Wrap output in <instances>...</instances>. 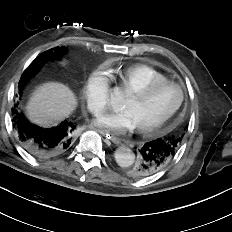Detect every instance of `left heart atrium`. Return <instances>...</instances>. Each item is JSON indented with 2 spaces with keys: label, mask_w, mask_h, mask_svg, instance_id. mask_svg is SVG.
<instances>
[{
  "label": "left heart atrium",
  "mask_w": 232,
  "mask_h": 232,
  "mask_svg": "<svg viewBox=\"0 0 232 232\" xmlns=\"http://www.w3.org/2000/svg\"><path fill=\"white\" fill-rule=\"evenodd\" d=\"M94 125L113 135H123L137 127L136 121L129 111L105 112L93 121Z\"/></svg>",
  "instance_id": "left-heart-atrium-1"
}]
</instances>
